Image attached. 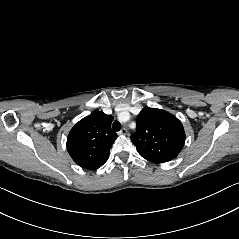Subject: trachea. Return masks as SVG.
Returning <instances> with one entry per match:
<instances>
[{
	"instance_id": "obj_1",
	"label": "trachea",
	"mask_w": 239,
	"mask_h": 239,
	"mask_svg": "<svg viewBox=\"0 0 239 239\" xmlns=\"http://www.w3.org/2000/svg\"><path fill=\"white\" fill-rule=\"evenodd\" d=\"M112 129L114 131H120L121 129V124L118 122V121H114L113 124H112Z\"/></svg>"
}]
</instances>
